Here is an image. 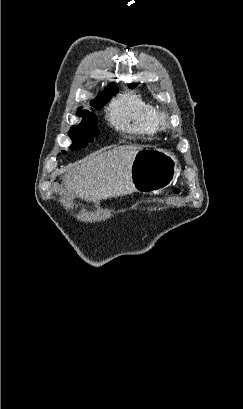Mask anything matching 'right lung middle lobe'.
Returning <instances> with one entry per match:
<instances>
[{
  "instance_id": "right-lung-middle-lobe-1",
  "label": "right lung middle lobe",
  "mask_w": 243,
  "mask_h": 409,
  "mask_svg": "<svg viewBox=\"0 0 243 409\" xmlns=\"http://www.w3.org/2000/svg\"><path fill=\"white\" fill-rule=\"evenodd\" d=\"M116 93L117 91L106 95L101 102L92 106L96 109L102 108L111 99V96ZM78 115L83 117L81 123L72 126L69 130V136L73 141V144L70 146L71 150L86 147L89 142H93V138L96 137L99 132L97 129V118L93 113L83 110L80 111ZM62 153L65 154L66 152L62 151Z\"/></svg>"
}]
</instances>
